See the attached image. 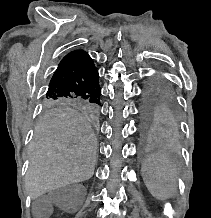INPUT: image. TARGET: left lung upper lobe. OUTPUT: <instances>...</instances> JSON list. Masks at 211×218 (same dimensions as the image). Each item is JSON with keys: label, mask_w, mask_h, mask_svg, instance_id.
Instances as JSON below:
<instances>
[{"label": "left lung upper lobe", "mask_w": 211, "mask_h": 218, "mask_svg": "<svg viewBox=\"0 0 211 218\" xmlns=\"http://www.w3.org/2000/svg\"><path fill=\"white\" fill-rule=\"evenodd\" d=\"M141 112L146 130L177 120L178 108L174 92L162 78L155 77L147 84Z\"/></svg>", "instance_id": "1"}]
</instances>
